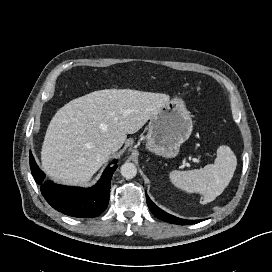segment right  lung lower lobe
Listing matches in <instances>:
<instances>
[{
	"label": "right lung lower lobe",
	"mask_w": 272,
	"mask_h": 272,
	"mask_svg": "<svg viewBox=\"0 0 272 272\" xmlns=\"http://www.w3.org/2000/svg\"><path fill=\"white\" fill-rule=\"evenodd\" d=\"M32 175L40 185L46 201L56 210L78 218H93L101 214L108 205L111 178L117 168V160L108 166L100 180L90 188L67 187L44 180L45 174L37 166L32 153H29Z\"/></svg>",
	"instance_id": "obj_1"
}]
</instances>
